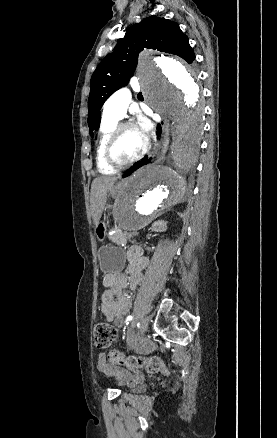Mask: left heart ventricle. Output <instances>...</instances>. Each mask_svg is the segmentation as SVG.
Wrapping results in <instances>:
<instances>
[{"label":"left heart ventricle","mask_w":277,"mask_h":438,"mask_svg":"<svg viewBox=\"0 0 277 438\" xmlns=\"http://www.w3.org/2000/svg\"><path fill=\"white\" fill-rule=\"evenodd\" d=\"M143 146V139L139 133L133 128L125 129L113 151L115 159L119 161H127L137 156Z\"/></svg>","instance_id":"b2bd125f"}]
</instances>
